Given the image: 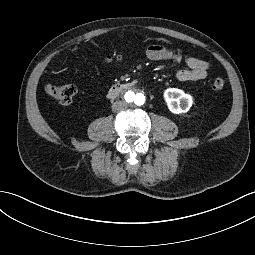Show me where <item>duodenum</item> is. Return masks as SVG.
<instances>
[{
  "label": "duodenum",
  "instance_id": "410a0bca",
  "mask_svg": "<svg viewBox=\"0 0 255 255\" xmlns=\"http://www.w3.org/2000/svg\"><path fill=\"white\" fill-rule=\"evenodd\" d=\"M136 84V81L114 84L108 91V97L115 98L119 94L133 88Z\"/></svg>",
  "mask_w": 255,
  "mask_h": 255
}]
</instances>
